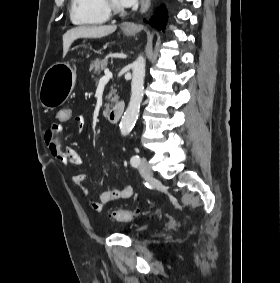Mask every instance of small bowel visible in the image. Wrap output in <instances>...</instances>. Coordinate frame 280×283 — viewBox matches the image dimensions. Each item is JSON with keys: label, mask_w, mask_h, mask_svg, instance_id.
<instances>
[{"label": "small bowel", "mask_w": 280, "mask_h": 283, "mask_svg": "<svg viewBox=\"0 0 280 283\" xmlns=\"http://www.w3.org/2000/svg\"><path fill=\"white\" fill-rule=\"evenodd\" d=\"M72 111V110H71ZM73 117V112H72ZM77 127L82 130L86 126V120L82 115L74 116ZM62 126L61 122L52 123L45 133V143L50 154L64 166H78L82 163L81 155L71 147H63L62 145ZM87 175L80 173L72 177V182L85 198L87 206L97 212H101L106 204L115 202L119 199H126L132 196L133 188L125 186L119 189H111L104 191L98 201L91 199L86 187L83 185Z\"/></svg>", "instance_id": "1"}]
</instances>
